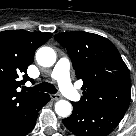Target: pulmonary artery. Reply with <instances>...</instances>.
I'll list each match as a JSON object with an SVG mask.
<instances>
[{"label": "pulmonary artery", "instance_id": "e3ab8cb5", "mask_svg": "<svg viewBox=\"0 0 136 136\" xmlns=\"http://www.w3.org/2000/svg\"><path fill=\"white\" fill-rule=\"evenodd\" d=\"M70 63L66 58H61L55 65L52 78L58 81L59 87L62 93L73 101H79L81 99L78 91L73 87L70 81Z\"/></svg>", "mask_w": 136, "mask_h": 136}]
</instances>
